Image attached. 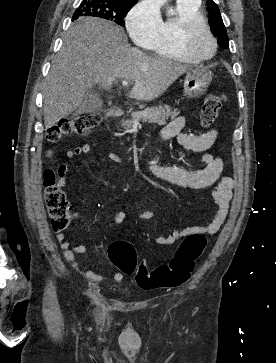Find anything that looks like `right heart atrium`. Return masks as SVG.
Masks as SVG:
<instances>
[{"instance_id":"right-heart-atrium-1","label":"right heart atrium","mask_w":276,"mask_h":363,"mask_svg":"<svg viewBox=\"0 0 276 363\" xmlns=\"http://www.w3.org/2000/svg\"><path fill=\"white\" fill-rule=\"evenodd\" d=\"M162 25L159 4L156 0H141L126 17L131 38L139 45L147 46L157 37Z\"/></svg>"}]
</instances>
